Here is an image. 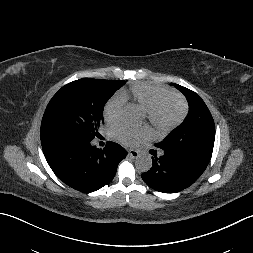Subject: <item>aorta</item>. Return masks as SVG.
I'll list each match as a JSON object with an SVG mask.
<instances>
[{
	"label": "aorta",
	"mask_w": 253,
	"mask_h": 253,
	"mask_svg": "<svg viewBox=\"0 0 253 253\" xmlns=\"http://www.w3.org/2000/svg\"><path fill=\"white\" fill-rule=\"evenodd\" d=\"M123 119L129 124H136L142 119V111L138 106L129 104L123 109ZM135 166L140 172L149 171L152 167L150 155L146 153L140 154L135 161Z\"/></svg>",
	"instance_id": "aorta-1"
}]
</instances>
